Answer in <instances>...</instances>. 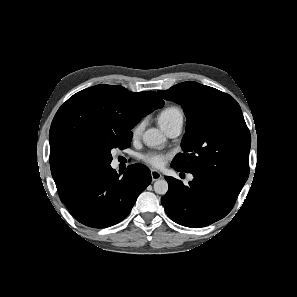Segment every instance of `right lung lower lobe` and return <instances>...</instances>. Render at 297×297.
Segmentation results:
<instances>
[{
	"mask_svg": "<svg viewBox=\"0 0 297 297\" xmlns=\"http://www.w3.org/2000/svg\"><path fill=\"white\" fill-rule=\"evenodd\" d=\"M151 180L150 170L142 164L128 166L123 177L108 165L87 172L60 199L80 223L106 228L130 213Z\"/></svg>",
	"mask_w": 297,
	"mask_h": 297,
	"instance_id": "1",
	"label": "right lung lower lobe"
}]
</instances>
